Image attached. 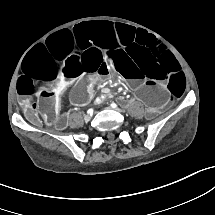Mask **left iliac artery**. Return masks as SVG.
Segmentation results:
<instances>
[{
    "instance_id": "1",
    "label": "left iliac artery",
    "mask_w": 215,
    "mask_h": 215,
    "mask_svg": "<svg viewBox=\"0 0 215 215\" xmlns=\"http://www.w3.org/2000/svg\"><path fill=\"white\" fill-rule=\"evenodd\" d=\"M111 107L116 108L117 105L113 102V103H111Z\"/></svg>"
}]
</instances>
